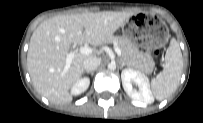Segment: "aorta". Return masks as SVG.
Listing matches in <instances>:
<instances>
[{"mask_svg": "<svg viewBox=\"0 0 203 123\" xmlns=\"http://www.w3.org/2000/svg\"><path fill=\"white\" fill-rule=\"evenodd\" d=\"M108 67H109L110 69H113V68H115V64H109Z\"/></svg>", "mask_w": 203, "mask_h": 123, "instance_id": "obj_1", "label": "aorta"}]
</instances>
